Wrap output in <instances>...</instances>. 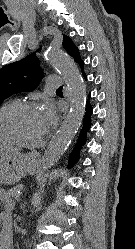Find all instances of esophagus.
<instances>
[{"label":"esophagus","instance_id":"1","mask_svg":"<svg viewBox=\"0 0 135 249\" xmlns=\"http://www.w3.org/2000/svg\"><path fill=\"white\" fill-rule=\"evenodd\" d=\"M65 94H66L67 100H68V89L67 88H65Z\"/></svg>","mask_w":135,"mask_h":249}]
</instances>
